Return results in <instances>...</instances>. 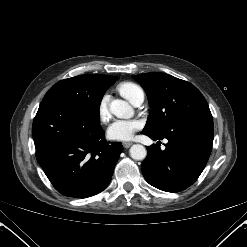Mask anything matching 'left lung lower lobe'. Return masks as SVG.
Here are the masks:
<instances>
[{
    "mask_svg": "<svg viewBox=\"0 0 247 247\" xmlns=\"http://www.w3.org/2000/svg\"><path fill=\"white\" fill-rule=\"evenodd\" d=\"M143 134L153 140L168 139L165 150L158 143L146 147L147 157L142 164L144 178L160 190L179 192L192 185L205 168L213 144V119L196 117L163 135Z\"/></svg>",
    "mask_w": 247,
    "mask_h": 247,
    "instance_id": "left-lung-lower-lobe-1",
    "label": "left lung lower lobe"
}]
</instances>
